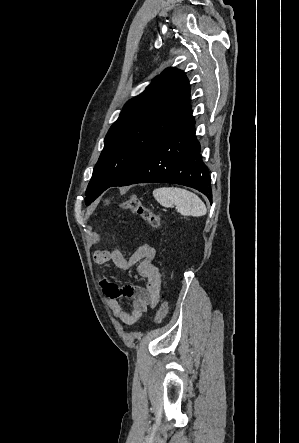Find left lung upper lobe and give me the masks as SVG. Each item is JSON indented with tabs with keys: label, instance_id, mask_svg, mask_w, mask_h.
Instances as JSON below:
<instances>
[{
	"label": "left lung upper lobe",
	"instance_id": "obj_1",
	"mask_svg": "<svg viewBox=\"0 0 299 443\" xmlns=\"http://www.w3.org/2000/svg\"><path fill=\"white\" fill-rule=\"evenodd\" d=\"M185 74L167 68L140 95L129 100L109 129L88 184L90 204L121 178L153 145L191 113Z\"/></svg>",
	"mask_w": 299,
	"mask_h": 443
}]
</instances>
